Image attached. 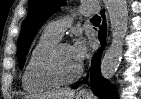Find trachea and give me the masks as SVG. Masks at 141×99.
Wrapping results in <instances>:
<instances>
[{"label": "trachea", "instance_id": "obj_1", "mask_svg": "<svg viewBox=\"0 0 141 99\" xmlns=\"http://www.w3.org/2000/svg\"><path fill=\"white\" fill-rule=\"evenodd\" d=\"M91 21H92L93 23H96V22L98 23V22L101 21V18L96 15V16L92 17Z\"/></svg>", "mask_w": 141, "mask_h": 99}]
</instances>
